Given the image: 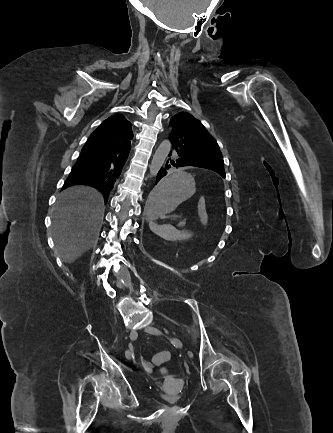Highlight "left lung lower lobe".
Returning a JSON list of instances; mask_svg holds the SVG:
<instances>
[{
	"label": "left lung lower lobe",
	"mask_w": 333,
	"mask_h": 433,
	"mask_svg": "<svg viewBox=\"0 0 333 433\" xmlns=\"http://www.w3.org/2000/svg\"><path fill=\"white\" fill-rule=\"evenodd\" d=\"M186 166H189V165L181 162L176 156L167 159L165 167H162L157 174L156 184L162 177H164L168 173L167 170H169V169L174 170V169L182 168V167H186ZM152 207H153V202L151 204L147 205V207H146L147 213L152 209Z\"/></svg>",
	"instance_id": "obj_1"
}]
</instances>
